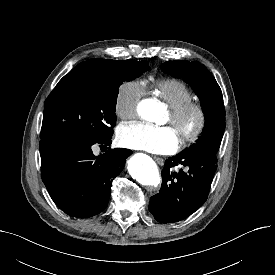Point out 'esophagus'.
<instances>
[{
    "label": "esophagus",
    "mask_w": 275,
    "mask_h": 275,
    "mask_svg": "<svg viewBox=\"0 0 275 275\" xmlns=\"http://www.w3.org/2000/svg\"><path fill=\"white\" fill-rule=\"evenodd\" d=\"M154 159L160 166L164 165V160L162 158L155 156Z\"/></svg>",
    "instance_id": "1"
}]
</instances>
